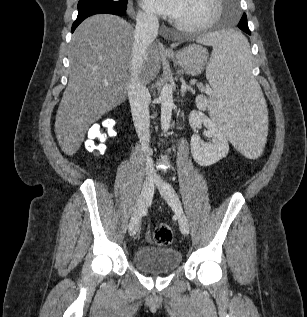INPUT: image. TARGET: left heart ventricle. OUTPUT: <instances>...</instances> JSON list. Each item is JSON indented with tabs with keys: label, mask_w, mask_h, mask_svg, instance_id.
<instances>
[{
	"label": "left heart ventricle",
	"mask_w": 307,
	"mask_h": 317,
	"mask_svg": "<svg viewBox=\"0 0 307 317\" xmlns=\"http://www.w3.org/2000/svg\"><path fill=\"white\" fill-rule=\"evenodd\" d=\"M212 0H185L181 13L175 17L179 23L193 25L207 21L214 12Z\"/></svg>",
	"instance_id": "1"
}]
</instances>
